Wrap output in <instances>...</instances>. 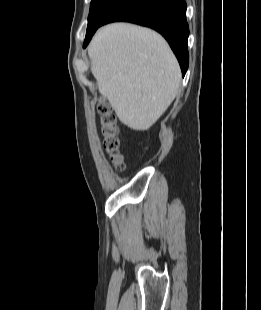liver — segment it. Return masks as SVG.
<instances>
[{
  "label": "liver",
  "instance_id": "liver-1",
  "mask_svg": "<svg viewBox=\"0 0 261 310\" xmlns=\"http://www.w3.org/2000/svg\"><path fill=\"white\" fill-rule=\"evenodd\" d=\"M88 55L101 94L133 130H148L178 93V61L166 40L151 29L106 25L94 35Z\"/></svg>",
  "mask_w": 261,
  "mask_h": 310
}]
</instances>
